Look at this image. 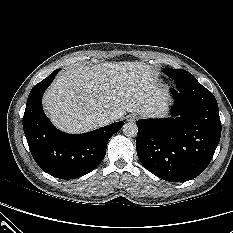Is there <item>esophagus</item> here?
<instances>
[{
    "mask_svg": "<svg viewBox=\"0 0 233 233\" xmlns=\"http://www.w3.org/2000/svg\"><path fill=\"white\" fill-rule=\"evenodd\" d=\"M127 121L134 122L137 119V116L135 114H130L126 117Z\"/></svg>",
    "mask_w": 233,
    "mask_h": 233,
    "instance_id": "obj_1",
    "label": "esophagus"
}]
</instances>
